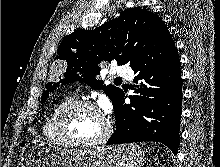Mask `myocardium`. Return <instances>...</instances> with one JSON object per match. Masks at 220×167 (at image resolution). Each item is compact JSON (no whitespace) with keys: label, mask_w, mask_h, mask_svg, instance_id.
Wrapping results in <instances>:
<instances>
[{"label":"myocardium","mask_w":220,"mask_h":167,"mask_svg":"<svg viewBox=\"0 0 220 167\" xmlns=\"http://www.w3.org/2000/svg\"><path fill=\"white\" fill-rule=\"evenodd\" d=\"M78 108H88L101 115L104 123L103 131L99 137L93 140L83 141L70 136L66 130V124L70 115ZM55 130L59 138L67 145L92 148L104 144L112 132V123L107 115L95 103L85 99H74L67 103L58 113L55 121Z\"/></svg>","instance_id":"f54148a6"}]
</instances>
